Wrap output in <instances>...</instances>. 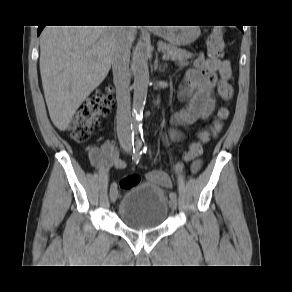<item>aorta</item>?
<instances>
[{"instance_id":"1","label":"aorta","mask_w":292,"mask_h":292,"mask_svg":"<svg viewBox=\"0 0 292 292\" xmlns=\"http://www.w3.org/2000/svg\"><path fill=\"white\" fill-rule=\"evenodd\" d=\"M134 83H133V105H132V132L135 136V144L141 143V118L146 103L148 84H149V68L148 55L142 46H138L134 53Z\"/></svg>"}]
</instances>
